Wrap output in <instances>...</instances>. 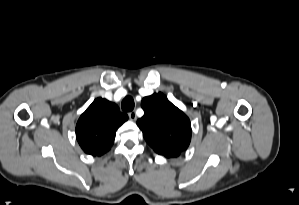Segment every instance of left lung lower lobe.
<instances>
[{"instance_id": "0a47b994", "label": "left lung lower lobe", "mask_w": 299, "mask_h": 205, "mask_svg": "<svg viewBox=\"0 0 299 205\" xmlns=\"http://www.w3.org/2000/svg\"><path fill=\"white\" fill-rule=\"evenodd\" d=\"M179 154H180V152L173 153V154H171L169 157H176V156H178Z\"/></svg>"}]
</instances>
